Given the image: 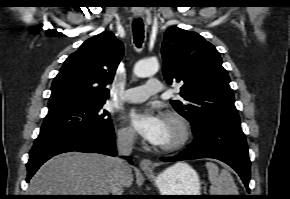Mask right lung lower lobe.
<instances>
[{"label":"right lung lower lobe","mask_w":290,"mask_h":199,"mask_svg":"<svg viewBox=\"0 0 290 199\" xmlns=\"http://www.w3.org/2000/svg\"><path fill=\"white\" fill-rule=\"evenodd\" d=\"M113 126L103 129H77L40 134L29 153L27 182L47 160L55 155L78 151L116 156ZM130 163L131 159L127 157Z\"/></svg>","instance_id":"obj_1"}]
</instances>
